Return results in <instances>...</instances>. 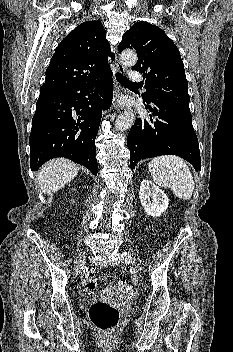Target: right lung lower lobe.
Returning a JSON list of instances; mask_svg holds the SVG:
<instances>
[{
	"mask_svg": "<svg viewBox=\"0 0 233 352\" xmlns=\"http://www.w3.org/2000/svg\"><path fill=\"white\" fill-rule=\"evenodd\" d=\"M112 97L111 69L62 93L39 96L29 138L32 171L64 157L97 175L95 138L101 110L110 107Z\"/></svg>",
	"mask_w": 233,
	"mask_h": 352,
	"instance_id": "98d812e1",
	"label": "right lung lower lobe"
}]
</instances>
